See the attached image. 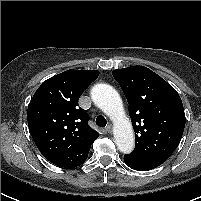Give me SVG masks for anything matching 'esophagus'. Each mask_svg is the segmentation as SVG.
<instances>
[{
	"label": "esophagus",
	"mask_w": 201,
	"mask_h": 201,
	"mask_svg": "<svg viewBox=\"0 0 201 201\" xmlns=\"http://www.w3.org/2000/svg\"><path fill=\"white\" fill-rule=\"evenodd\" d=\"M105 131H106L107 133H111V132H112V125L109 124V125L105 128Z\"/></svg>",
	"instance_id": "34e87169"
}]
</instances>
